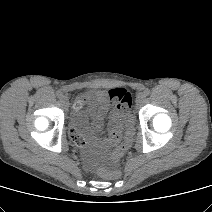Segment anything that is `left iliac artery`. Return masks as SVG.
<instances>
[{"label":"left iliac artery","mask_w":212,"mask_h":212,"mask_svg":"<svg viewBox=\"0 0 212 212\" xmlns=\"http://www.w3.org/2000/svg\"><path fill=\"white\" fill-rule=\"evenodd\" d=\"M143 93L145 96L150 95V89L146 88Z\"/></svg>","instance_id":"1"}]
</instances>
